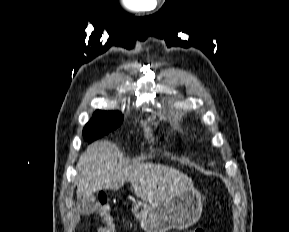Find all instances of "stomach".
I'll return each mask as SVG.
<instances>
[{"mask_svg": "<svg viewBox=\"0 0 289 232\" xmlns=\"http://www.w3.org/2000/svg\"><path fill=\"white\" fill-rule=\"evenodd\" d=\"M202 208L201 193L191 188L161 203H148L142 199L134 205L132 211L145 232H167L192 226L200 218Z\"/></svg>", "mask_w": 289, "mask_h": 232, "instance_id": "0dacf381", "label": "stomach"}]
</instances>
